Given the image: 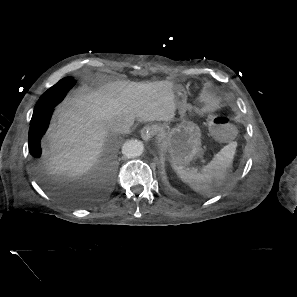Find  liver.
Returning a JSON list of instances; mask_svg holds the SVG:
<instances>
[{"label": "liver", "mask_w": 297, "mask_h": 297, "mask_svg": "<svg viewBox=\"0 0 297 297\" xmlns=\"http://www.w3.org/2000/svg\"><path fill=\"white\" fill-rule=\"evenodd\" d=\"M174 84L120 80L83 89L55 112L44 154L46 168L62 181L66 193L88 184L84 177L100 160L113 123L135 118L168 121L178 105Z\"/></svg>", "instance_id": "1"}]
</instances>
